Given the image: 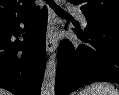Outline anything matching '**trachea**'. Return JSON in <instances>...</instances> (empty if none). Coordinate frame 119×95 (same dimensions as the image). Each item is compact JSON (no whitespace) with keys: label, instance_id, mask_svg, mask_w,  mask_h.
I'll return each instance as SVG.
<instances>
[{"label":"trachea","instance_id":"obj_1","mask_svg":"<svg viewBox=\"0 0 119 95\" xmlns=\"http://www.w3.org/2000/svg\"><path fill=\"white\" fill-rule=\"evenodd\" d=\"M46 3L60 16H70L66 11L60 8L53 0H46Z\"/></svg>","mask_w":119,"mask_h":95}]
</instances>
